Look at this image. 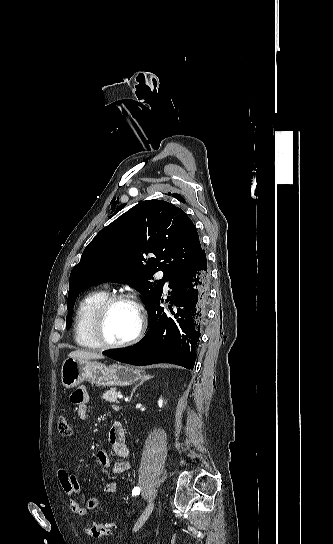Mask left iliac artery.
I'll return each mask as SVG.
<instances>
[{
    "label": "left iliac artery",
    "instance_id": "1",
    "mask_svg": "<svg viewBox=\"0 0 333 544\" xmlns=\"http://www.w3.org/2000/svg\"><path fill=\"white\" fill-rule=\"evenodd\" d=\"M139 494H140V488L134 487V489L132 490V496H137Z\"/></svg>",
    "mask_w": 333,
    "mask_h": 544
}]
</instances>
